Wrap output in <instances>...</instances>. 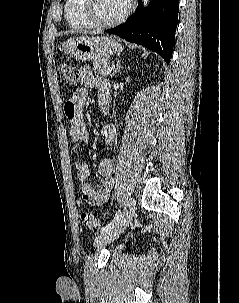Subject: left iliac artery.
<instances>
[{
	"mask_svg": "<svg viewBox=\"0 0 239 303\" xmlns=\"http://www.w3.org/2000/svg\"><path fill=\"white\" fill-rule=\"evenodd\" d=\"M121 216H122L121 210H118L117 213H116V215H115V217H114V219L110 223H108L105 227H103L101 229V232H104V231L108 230L111 226L114 225V223L116 221H118L121 218Z\"/></svg>",
	"mask_w": 239,
	"mask_h": 303,
	"instance_id": "1",
	"label": "left iliac artery"
}]
</instances>
